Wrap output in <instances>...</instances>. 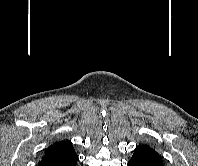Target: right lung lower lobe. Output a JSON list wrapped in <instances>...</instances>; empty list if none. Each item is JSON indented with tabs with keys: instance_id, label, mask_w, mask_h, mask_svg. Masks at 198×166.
Masks as SVG:
<instances>
[{
	"instance_id": "98d812e1",
	"label": "right lung lower lobe",
	"mask_w": 198,
	"mask_h": 166,
	"mask_svg": "<svg viewBox=\"0 0 198 166\" xmlns=\"http://www.w3.org/2000/svg\"><path fill=\"white\" fill-rule=\"evenodd\" d=\"M78 161V156H71L67 158H63L61 160H48L41 161L38 166H76V162Z\"/></svg>"
}]
</instances>
